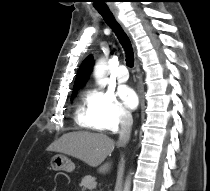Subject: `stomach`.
<instances>
[{"instance_id":"0dacf381","label":"stomach","mask_w":210,"mask_h":191,"mask_svg":"<svg viewBox=\"0 0 210 191\" xmlns=\"http://www.w3.org/2000/svg\"><path fill=\"white\" fill-rule=\"evenodd\" d=\"M50 165L54 171L72 172L75 168L74 163L68 157L60 154L51 158Z\"/></svg>"}]
</instances>
